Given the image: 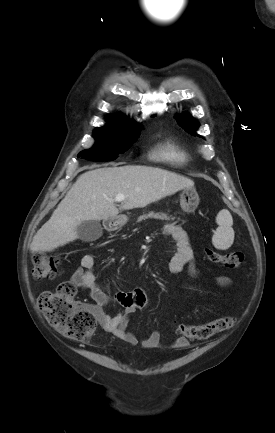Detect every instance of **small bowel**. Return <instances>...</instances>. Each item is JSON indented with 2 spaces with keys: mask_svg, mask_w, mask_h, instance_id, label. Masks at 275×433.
I'll list each match as a JSON object with an SVG mask.
<instances>
[{
  "mask_svg": "<svg viewBox=\"0 0 275 433\" xmlns=\"http://www.w3.org/2000/svg\"><path fill=\"white\" fill-rule=\"evenodd\" d=\"M164 234L173 239L176 245V252L169 260V269L172 273H178L185 264H189L190 275L195 277L198 270L194 265V253L189 243L186 232L179 226L168 223L164 225ZM95 258L92 254H84L81 258L80 266L74 271L71 282L82 290L88 292L93 304L86 306L96 317L102 329L114 335L116 338L130 344L136 345L138 339L134 333L127 331L130 317L137 310L145 309L150 305L146 292L141 287H135L130 291H119L110 294L105 285L97 282L95 272ZM217 282L221 287H228L230 279L226 276L217 277ZM113 303L122 306L123 310L115 315H108L104 312V307ZM142 348L153 350L162 347L161 334L158 330H153L149 336L140 341ZM189 342L184 337H178L169 348L173 350L184 349Z\"/></svg>",
  "mask_w": 275,
  "mask_h": 433,
  "instance_id": "obj_1",
  "label": "small bowel"
}]
</instances>
